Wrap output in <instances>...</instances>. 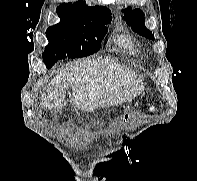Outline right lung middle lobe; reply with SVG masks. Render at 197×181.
Returning <instances> with one entry per match:
<instances>
[{"mask_svg":"<svg viewBox=\"0 0 197 181\" xmlns=\"http://www.w3.org/2000/svg\"><path fill=\"white\" fill-rule=\"evenodd\" d=\"M111 15L90 16L79 19H62L46 30L49 44L43 52L46 67L64 58H81L96 53L111 22Z\"/></svg>","mask_w":197,"mask_h":181,"instance_id":"right-lung-middle-lobe-1","label":"right lung middle lobe"}]
</instances>
